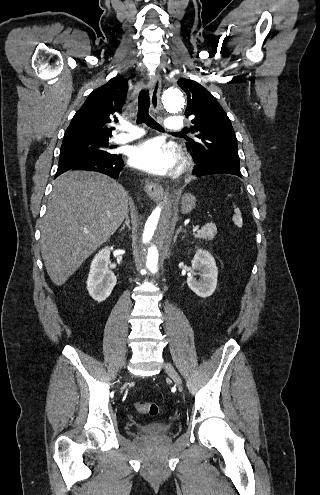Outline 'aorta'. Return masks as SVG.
Wrapping results in <instances>:
<instances>
[{"mask_svg": "<svg viewBox=\"0 0 320 495\" xmlns=\"http://www.w3.org/2000/svg\"><path fill=\"white\" fill-rule=\"evenodd\" d=\"M167 111L176 113L184 105V97L178 89H167L162 95ZM173 226V211L167 201L156 207L146 220L141 231V252L151 273L158 271L161 245L170 240Z\"/></svg>", "mask_w": 320, "mask_h": 495, "instance_id": "762f6f07", "label": "aorta"}]
</instances>
